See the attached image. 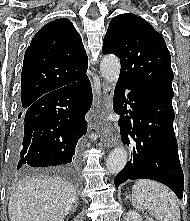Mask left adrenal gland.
<instances>
[{
	"instance_id": "a2214340",
	"label": "left adrenal gland",
	"mask_w": 190,
	"mask_h": 221,
	"mask_svg": "<svg viewBox=\"0 0 190 221\" xmlns=\"http://www.w3.org/2000/svg\"><path fill=\"white\" fill-rule=\"evenodd\" d=\"M130 198V196H126V199H129Z\"/></svg>"
}]
</instances>
